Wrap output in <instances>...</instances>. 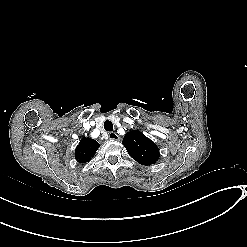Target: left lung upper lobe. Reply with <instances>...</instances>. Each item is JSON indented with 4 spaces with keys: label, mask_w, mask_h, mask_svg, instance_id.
Listing matches in <instances>:
<instances>
[{
    "label": "left lung upper lobe",
    "mask_w": 247,
    "mask_h": 247,
    "mask_svg": "<svg viewBox=\"0 0 247 247\" xmlns=\"http://www.w3.org/2000/svg\"><path fill=\"white\" fill-rule=\"evenodd\" d=\"M128 154L138 163L148 166L160 156L157 145L140 131H131L123 139Z\"/></svg>",
    "instance_id": "left-lung-upper-lobe-1"
}]
</instances>
